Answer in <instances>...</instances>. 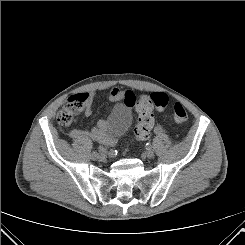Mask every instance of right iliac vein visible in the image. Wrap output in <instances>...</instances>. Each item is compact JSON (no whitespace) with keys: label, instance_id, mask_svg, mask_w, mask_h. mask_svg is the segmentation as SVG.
I'll use <instances>...</instances> for the list:
<instances>
[{"label":"right iliac vein","instance_id":"obj_1","mask_svg":"<svg viewBox=\"0 0 245 245\" xmlns=\"http://www.w3.org/2000/svg\"><path fill=\"white\" fill-rule=\"evenodd\" d=\"M100 156H102V155L99 154V153H97V152H92V153H91V158H92L93 160L99 159Z\"/></svg>","mask_w":245,"mask_h":245}]
</instances>
